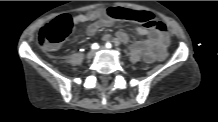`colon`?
Listing matches in <instances>:
<instances>
[{"label":"colon","mask_w":218,"mask_h":122,"mask_svg":"<svg viewBox=\"0 0 218 122\" xmlns=\"http://www.w3.org/2000/svg\"><path fill=\"white\" fill-rule=\"evenodd\" d=\"M109 15L116 19L128 20L142 24L148 28H162L163 23L148 11H137L117 7L109 10ZM72 20L68 15H62L45 25L39 32V45L46 49L56 48L70 33ZM170 49H163L156 55L157 63H165L171 57Z\"/></svg>","instance_id":"1"}]
</instances>
